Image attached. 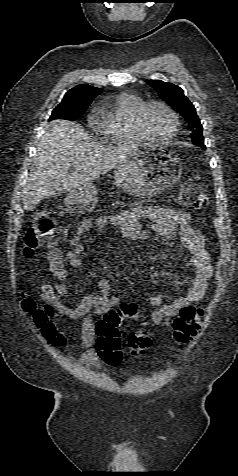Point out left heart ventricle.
I'll use <instances>...</instances> for the list:
<instances>
[{
  "label": "left heart ventricle",
  "mask_w": 238,
  "mask_h": 476,
  "mask_svg": "<svg viewBox=\"0 0 238 476\" xmlns=\"http://www.w3.org/2000/svg\"><path fill=\"white\" fill-rule=\"evenodd\" d=\"M144 124L149 135L155 139H163L172 130V119L160 106L150 107L144 117Z\"/></svg>",
  "instance_id": "left-heart-ventricle-1"
}]
</instances>
